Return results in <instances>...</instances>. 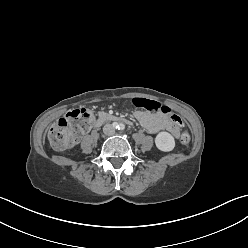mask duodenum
Masks as SVG:
<instances>
[{
  "label": "duodenum",
  "mask_w": 248,
  "mask_h": 248,
  "mask_svg": "<svg viewBox=\"0 0 248 248\" xmlns=\"http://www.w3.org/2000/svg\"><path fill=\"white\" fill-rule=\"evenodd\" d=\"M107 121L121 122L127 125L131 124V121L127 118L116 116V115L104 114V115H101L98 119H96L93 122L92 126L99 127L100 125H102L104 122H107Z\"/></svg>",
  "instance_id": "obj_1"
}]
</instances>
